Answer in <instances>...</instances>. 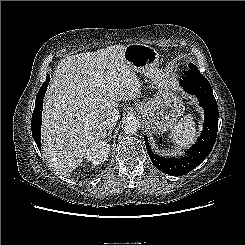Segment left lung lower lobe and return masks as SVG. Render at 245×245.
<instances>
[{
  "mask_svg": "<svg viewBox=\"0 0 245 245\" xmlns=\"http://www.w3.org/2000/svg\"><path fill=\"white\" fill-rule=\"evenodd\" d=\"M184 75L181 85L184 90L197 96L199 105L204 110L203 131L197 142L187 149L181 158H164L152 152L148 139L144 137L152 163L162 172L172 176L185 175L203 162L214 146L218 129V107L210 83L197 67H190Z\"/></svg>",
  "mask_w": 245,
  "mask_h": 245,
  "instance_id": "0a47b994",
  "label": "left lung lower lobe"
}]
</instances>
